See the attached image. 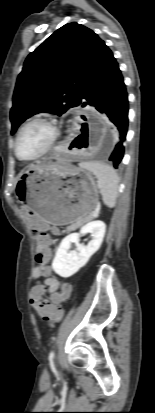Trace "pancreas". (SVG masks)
Listing matches in <instances>:
<instances>
[{
  "label": "pancreas",
  "instance_id": "1",
  "mask_svg": "<svg viewBox=\"0 0 155 413\" xmlns=\"http://www.w3.org/2000/svg\"><path fill=\"white\" fill-rule=\"evenodd\" d=\"M83 223L84 222L82 221L72 223L71 225L67 226L66 231L69 232V231L75 230L78 227H80Z\"/></svg>",
  "mask_w": 155,
  "mask_h": 413
}]
</instances>
